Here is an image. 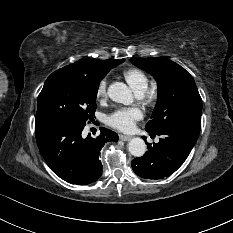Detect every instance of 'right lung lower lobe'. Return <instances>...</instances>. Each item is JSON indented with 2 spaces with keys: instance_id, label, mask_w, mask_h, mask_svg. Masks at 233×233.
<instances>
[{
  "instance_id": "98d812e1",
  "label": "right lung lower lobe",
  "mask_w": 233,
  "mask_h": 233,
  "mask_svg": "<svg viewBox=\"0 0 233 233\" xmlns=\"http://www.w3.org/2000/svg\"><path fill=\"white\" fill-rule=\"evenodd\" d=\"M85 125L58 120L35 121L38 148L50 169L71 184L86 185L102 175L99 160L107 141H118L117 133L100 128L97 138L82 137Z\"/></svg>"
}]
</instances>
